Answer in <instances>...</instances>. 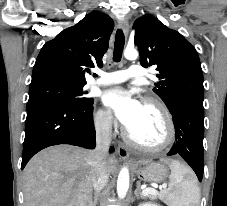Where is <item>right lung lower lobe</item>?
Segmentation results:
<instances>
[{"label": "right lung lower lobe", "instance_id": "right-lung-lower-lobe-1", "mask_svg": "<svg viewBox=\"0 0 227 206\" xmlns=\"http://www.w3.org/2000/svg\"><path fill=\"white\" fill-rule=\"evenodd\" d=\"M93 102L82 106L39 104L27 109L21 169L40 150L58 144L95 148ZM112 147L110 151H113Z\"/></svg>", "mask_w": 227, "mask_h": 206}]
</instances>
